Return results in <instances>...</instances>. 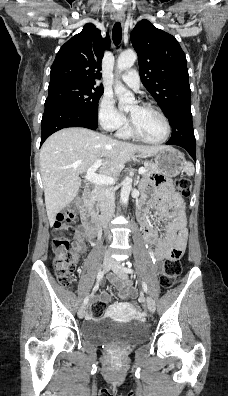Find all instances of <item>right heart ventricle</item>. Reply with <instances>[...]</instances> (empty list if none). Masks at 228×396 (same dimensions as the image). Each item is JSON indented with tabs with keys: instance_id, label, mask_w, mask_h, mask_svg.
<instances>
[{
	"instance_id": "obj_1",
	"label": "right heart ventricle",
	"mask_w": 228,
	"mask_h": 396,
	"mask_svg": "<svg viewBox=\"0 0 228 396\" xmlns=\"http://www.w3.org/2000/svg\"><path fill=\"white\" fill-rule=\"evenodd\" d=\"M118 135L123 137V138H129L131 136V133L127 128H123L118 131Z\"/></svg>"
}]
</instances>
